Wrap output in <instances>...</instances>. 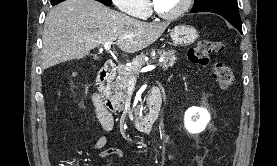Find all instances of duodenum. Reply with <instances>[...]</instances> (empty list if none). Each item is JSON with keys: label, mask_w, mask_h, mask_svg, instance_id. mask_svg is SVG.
Instances as JSON below:
<instances>
[{"label": "duodenum", "mask_w": 277, "mask_h": 166, "mask_svg": "<svg viewBox=\"0 0 277 166\" xmlns=\"http://www.w3.org/2000/svg\"><path fill=\"white\" fill-rule=\"evenodd\" d=\"M116 66L112 60H108L97 77V91L94 94L97 108L101 116L107 120H113L115 114V103L111 99L109 92V82L115 74ZM161 106V95L157 89L151 90L146 104L145 114L134 120V126L141 132L148 133L158 117Z\"/></svg>", "instance_id": "duodenum-1"}]
</instances>
